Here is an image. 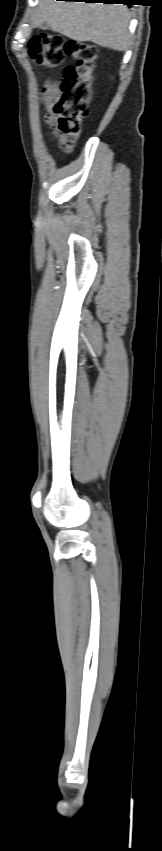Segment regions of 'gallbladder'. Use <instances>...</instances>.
Listing matches in <instances>:
<instances>
[{
  "instance_id": "1",
  "label": "gallbladder",
  "mask_w": 162,
  "mask_h": 851,
  "mask_svg": "<svg viewBox=\"0 0 162 851\" xmlns=\"http://www.w3.org/2000/svg\"><path fill=\"white\" fill-rule=\"evenodd\" d=\"M40 28H41V29H43V30H48V29L50 28V25H49L48 23H46V22H43V23L40 25Z\"/></svg>"
}]
</instances>
